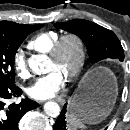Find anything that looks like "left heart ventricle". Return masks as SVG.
<instances>
[{
    "label": "left heart ventricle",
    "instance_id": "1",
    "mask_svg": "<svg viewBox=\"0 0 130 130\" xmlns=\"http://www.w3.org/2000/svg\"><path fill=\"white\" fill-rule=\"evenodd\" d=\"M77 59V47L74 42L64 44L61 56L58 60L49 59L48 70L57 69L64 76L73 68Z\"/></svg>",
    "mask_w": 130,
    "mask_h": 130
}]
</instances>
